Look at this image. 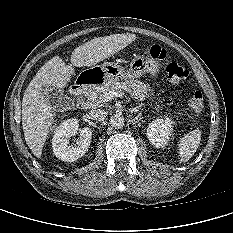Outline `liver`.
Wrapping results in <instances>:
<instances>
[{"mask_svg": "<svg viewBox=\"0 0 233 233\" xmlns=\"http://www.w3.org/2000/svg\"><path fill=\"white\" fill-rule=\"evenodd\" d=\"M135 34H113L94 38L74 49L71 63L76 67H91L113 56L135 41ZM55 56L47 61L33 77L26 88L22 100V126L25 141L37 158L41 157L42 149L52 130L54 122L53 107L44 98L42 86L51 85L62 89L70 82L75 70Z\"/></svg>", "mask_w": 233, "mask_h": 233, "instance_id": "liver-1", "label": "liver"}]
</instances>
